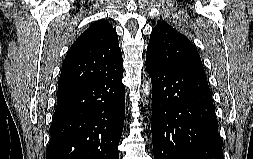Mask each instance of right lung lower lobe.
<instances>
[{"label": "right lung lower lobe", "mask_w": 253, "mask_h": 159, "mask_svg": "<svg viewBox=\"0 0 253 159\" xmlns=\"http://www.w3.org/2000/svg\"><path fill=\"white\" fill-rule=\"evenodd\" d=\"M123 70L57 103L46 159H119L125 117Z\"/></svg>", "instance_id": "1"}]
</instances>
